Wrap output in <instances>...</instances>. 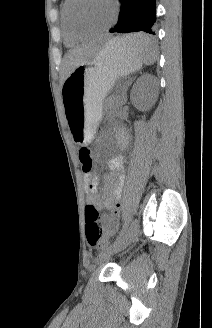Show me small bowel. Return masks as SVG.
I'll return each instance as SVG.
<instances>
[{"mask_svg": "<svg viewBox=\"0 0 212 328\" xmlns=\"http://www.w3.org/2000/svg\"><path fill=\"white\" fill-rule=\"evenodd\" d=\"M81 162V161H80ZM82 164V163H81ZM111 174L106 180V189L99 193V183L92 172H84V183L89 193L88 201L97 209H106L109 213L103 216L102 223L106 237L113 236L118 228L119 211L123 189L124 162L121 156L109 162Z\"/></svg>", "mask_w": 212, "mask_h": 328, "instance_id": "1", "label": "small bowel"}]
</instances>
